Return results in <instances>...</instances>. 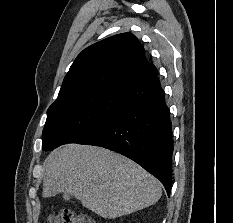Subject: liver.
I'll list each match as a JSON object with an SVG mask.
<instances>
[{
	"mask_svg": "<svg viewBox=\"0 0 233 223\" xmlns=\"http://www.w3.org/2000/svg\"><path fill=\"white\" fill-rule=\"evenodd\" d=\"M42 171L43 197L66 191L107 219L149 207L162 195L160 181L138 163L96 145L58 147L47 155Z\"/></svg>",
	"mask_w": 233,
	"mask_h": 223,
	"instance_id": "liver-1",
	"label": "liver"
}]
</instances>
